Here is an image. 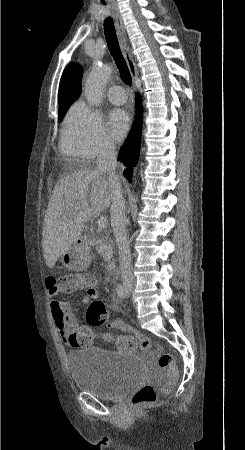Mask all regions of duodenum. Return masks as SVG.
<instances>
[{
  "label": "duodenum",
  "instance_id": "duodenum-1",
  "mask_svg": "<svg viewBox=\"0 0 245 450\" xmlns=\"http://www.w3.org/2000/svg\"><path fill=\"white\" fill-rule=\"evenodd\" d=\"M94 245V241L91 239L81 236L78 238L77 247L79 248L80 252H87L90 250ZM108 271L112 274L118 272L119 270V262L116 259H112L108 264Z\"/></svg>",
  "mask_w": 245,
  "mask_h": 450
}]
</instances>
